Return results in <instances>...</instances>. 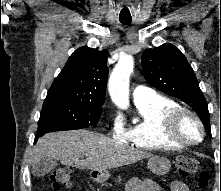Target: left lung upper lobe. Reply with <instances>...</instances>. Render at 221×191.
<instances>
[{
    "instance_id": "5c2ea615",
    "label": "left lung upper lobe",
    "mask_w": 221,
    "mask_h": 191,
    "mask_svg": "<svg viewBox=\"0 0 221 191\" xmlns=\"http://www.w3.org/2000/svg\"><path fill=\"white\" fill-rule=\"evenodd\" d=\"M142 68L143 76L149 84L190 105L211 136L207 102L192 67L177 47L165 43L147 49L142 55Z\"/></svg>"
}]
</instances>
